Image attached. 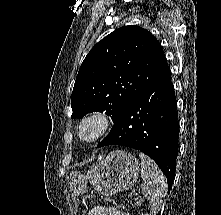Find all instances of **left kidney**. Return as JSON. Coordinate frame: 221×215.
Segmentation results:
<instances>
[{
  "label": "left kidney",
  "mask_w": 221,
  "mask_h": 215,
  "mask_svg": "<svg viewBox=\"0 0 221 215\" xmlns=\"http://www.w3.org/2000/svg\"><path fill=\"white\" fill-rule=\"evenodd\" d=\"M143 215V214H142ZM145 215H148V214H145ZM150 215H156V214H150Z\"/></svg>",
  "instance_id": "1"
}]
</instances>
